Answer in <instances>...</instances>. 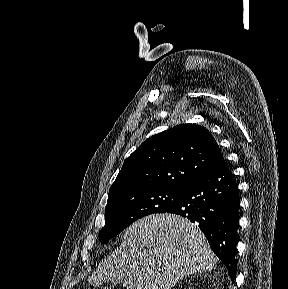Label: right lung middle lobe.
<instances>
[{
  "instance_id": "right-lung-middle-lobe-1",
  "label": "right lung middle lobe",
  "mask_w": 288,
  "mask_h": 289,
  "mask_svg": "<svg viewBox=\"0 0 288 289\" xmlns=\"http://www.w3.org/2000/svg\"><path fill=\"white\" fill-rule=\"evenodd\" d=\"M185 188H149L123 191L108 197L105 226L100 231L103 244L134 221L153 213H164L182 198Z\"/></svg>"
}]
</instances>
